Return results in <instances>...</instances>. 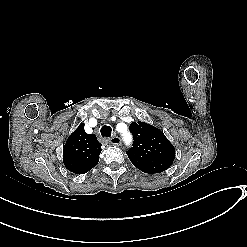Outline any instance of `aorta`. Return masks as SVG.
Instances as JSON below:
<instances>
[{
	"instance_id": "obj_1",
	"label": "aorta",
	"mask_w": 247,
	"mask_h": 247,
	"mask_svg": "<svg viewBox=\"0 0 247 247\" xmlns=\"http://www.w3.org/2000/svg\"><path fill=\"white\" fill-rule=\"evenodd\" d=\"M123 138H124V141L128 142L130 139V136L128 135V133H123Z\"/></svg>"
}]
</instances>
